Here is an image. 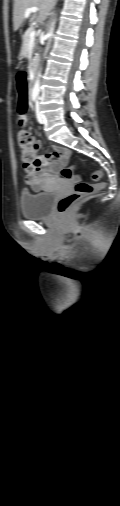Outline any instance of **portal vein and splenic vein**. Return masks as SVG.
Returning a JSON list of instances; mask_svg holds the SVG:
<instances>
[{"instance_id": "1", "label": "portal vein and splenic vein", "mask_w": 120, "mask_h": 506, "mask_svg": "<svg viewBox=\"0 0 120 506\" xmlns=\"http://www.w3.org/2000/svg\"><path fill=\"white\" fill-rule=\"evenodd\" d=\"M37 11H38V8H37V7H30V8H28V9L26 10V12H25V16H29V14H30V13H36ZM35 34H36V31H35V30H32V31L30 32V36H31V37H34V36H35Z\"/></svg>"}]
</instances>
